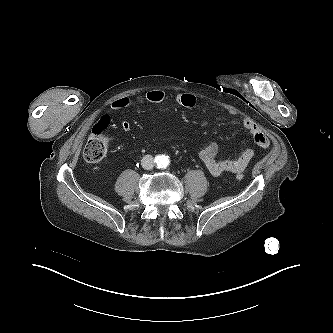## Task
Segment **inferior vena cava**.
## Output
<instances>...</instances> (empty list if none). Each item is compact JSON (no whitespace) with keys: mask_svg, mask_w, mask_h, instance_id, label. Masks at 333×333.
<instances>
[{"mask_svg":"<svg viewBox=\"0 0 333 333\" xmlns=\"http://www.w3.org/2000/svg\"><path fill=\"white\" fill-rule=\"evenodd\" d=\"M141 165L146 170L152 169L154 167V160L152 155H145L141 160Z\"/></svg>","mask_w":333,"mask_h":333,"instance_id":"obj_1","label":"inferior vena cava"}]
</instances>
